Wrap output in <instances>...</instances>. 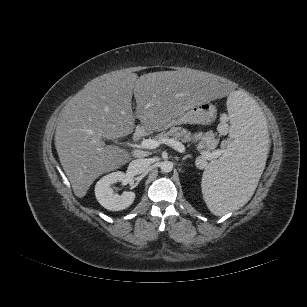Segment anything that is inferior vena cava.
<instances>
[{
    "label": "inferior vena cava",
    "mask_w": 307,
    "mask_h": 307,
    "mask_svg": "<svg viewBox=\"0 0 307 307\" xmlns=\"http://www.w3.org/2000/svg\"><path fill=\"white\" fill-rule=\"evenodd\" d=\"M150 164L151 163L149 159H145V158H139V159L133 160L129 163L128 172L131 175L141 174L150 166Z\"/></svg>",
    "instance_id": "obj_1"
}]
</instances>
